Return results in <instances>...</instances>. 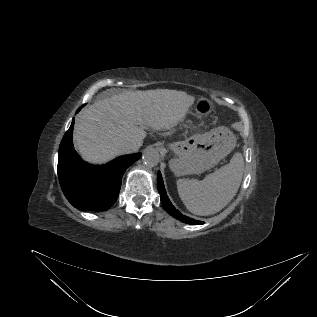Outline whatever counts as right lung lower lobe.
<instances>
[{"mask_svg": "<svg viewBox=\"0 0 317 317\" xmlns=\"http://www.w3.org/2000/svg\"><path fill=\"white\" fill-rule=\"evenodd\" d=\"M73 126L74 118L59 147L57 170L63 193L78 209L107 210L118 198L126 168L137 161L141 153L121 156L101 166L89 165L74 150Z\"/></svg>", "mask_w": 317, "mask_h": 317, "instance_id": "98d812e1", "label": "right lung lower lobe"}]
</instances>
